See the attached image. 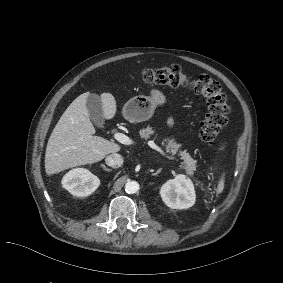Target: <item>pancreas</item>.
Instances as JSON below:
<instances>
[{"instance_id": "pancreas-1", "label": "pancreas", "mask_w": 283, "mask_h": 283, "mask_svg": "<svg viewBox=\"0 0 283 283\" xmlns=\"http://www.w3.org/2000/svg\"><path fill=\"white\" fill-rule=\"evenodd\" d=\"M155 132L156 130L152 129L151 126H147L146 128L140 129L139 135L141 138H148L150 134H155ZM180 147L181 145L176 143L175 138L167 139L166 151L171 152L172 155L178 154L182 160L183 167L189 174H191L196 169L197 161L194 160L185 150H179Z\"/></svg>"}]
</instances>
